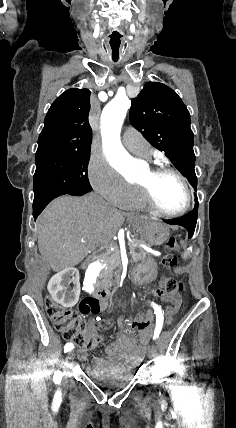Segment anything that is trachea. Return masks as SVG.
Listing matches in <instances>:
<instances>
[{"label":"trachea","instance_id":"obj_1","mask_svg":"<svg viewBox=\"0 0 236 428\" xmlns=\"http://www.w3.org/2000/svg\"><path fill=\"white\" fill-rule=\"evenodd\" d=\"M123 38V35L117 33L116 29H113L112 33H109L107 36V39L111 45L109 48V60L111 64H118L119 60L122 58V53L120 50Z\"/></svg>","mask_w":236,"mask_h":428}]
</instances>
